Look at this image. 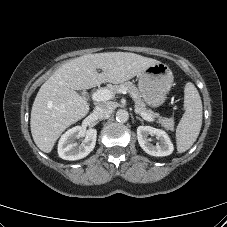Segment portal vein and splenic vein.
<instances>
[{"mask_svg": "<svg viewBox=\"0 0 227 227\" xmlns=\"http://www.w3.org/2000/svg\"><path fill=\"white\" fill-rule=\"evenodd\" d=\"M125 93V91H122ZM114 92L110 89H107V88H104V89H100L96 92H94L92 94V99L94 101H106V100H110L114 97ZM137 113H139V111L136 109L135 110ZM140 115L147 121H154L153 117L149 116L148 114L146 113H140Z\"/></svg>", "mask_w": 227, "mask_h": 227, "instance_id": "18ae733b", "label": "portal vein and splenic vein"}]
</instances>
